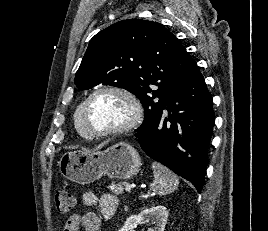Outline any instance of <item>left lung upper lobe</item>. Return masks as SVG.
<instances>
[{
	"label": "left lung upper lobe",
	"instance_id": "5c2ea615",
	"mask_svg": "<svg viewBox=\"0 0 268 231\" xmlns=\"http://www.w3.org/2000/svg\"><path fill=\"white\" fill-rule=\"evenodd\" d=\"M195 66V60L162 24L128 19L91 39L74 83L81 90L103 84L135 94L145 109L143 124L135 131H146L161 114L173 86Z\"/></svg>",
	"mask_w": 268,
	"mask_h": 231
}]
</instances>
